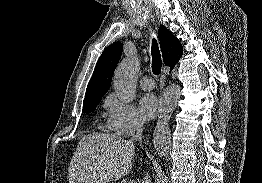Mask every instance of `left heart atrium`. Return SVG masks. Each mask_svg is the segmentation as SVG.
Instances as JSON below:
<instances>
[{
	"instance_id": "39dd6f15",
	"label": "left heart atrium",
	"mask_w": 262,
	"mask_h": 183,
	"mask_svg": "<svg viewBox=\"0 0 262 183\" xmlns=\"http://www.w3.org/2000/svg\"><path fill=\"white\" fill-rule=\"evenodd\" d=\"M158 108L157 98L153 94H145L139 100V110L145 120H151Z\"/></svg>"
}]
</instances>
